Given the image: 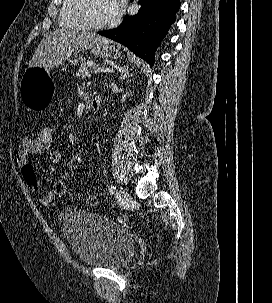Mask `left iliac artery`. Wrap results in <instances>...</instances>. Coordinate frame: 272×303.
I'll list each match as a JSON object with an SVG mask.
<instances>
[{
	"label": "left iliac artery",
	"instance_id": "left-iliac-artery-1",
	"mask_svg": "<svg viewBox=\"0 0 272 303\" xmlns=\"http://www.w3.org/2000/svg\"><path fill=\"white\" fill-rule=\"evenodd\" d=\"M115 189H116V188H115L114 185L111 184V185L109 186V192H110L111 195H114V194H115Z\"/></svg>",
	"mask_w": 272,
	"mask_h": 303
}]
</instances>
